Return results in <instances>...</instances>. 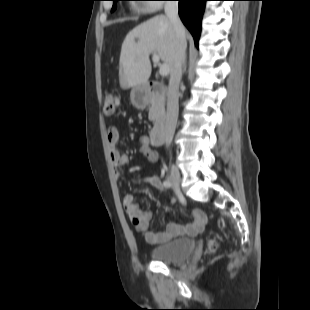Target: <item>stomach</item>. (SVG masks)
I'll use <instances>...</instances> for the list:
<instances>
[{
  "instance_id": "stomach-1",
  "label": "stomach",
  "mask_w": 310,
  "mask_h": 310,
  "mask_svg": "<svg viewBox=\"0 0 310 310\" xmlns=\"http://www.w3.org/2000/svg\"><path fill=\"white\" fill-rule=\"evenodd\" d=\"M130 98L134 106L141 108L146 105L148 96L144 87L136 86L131 90Z\"/></svg>"
}]
</instances>
